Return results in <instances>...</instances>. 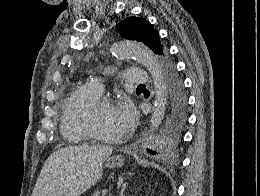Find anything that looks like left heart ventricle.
Returning a JSON list of instances; mask_svg holds the SVG:
<instances>
[{
  "label": "left heart ventricle",
  "mask_w": 260,
  "mask_h": 196,
  "mask_svg": "<svg viewBox=\"0 0 260 196\" xmlns=\"http://www.w3.org/2000/svg\"><path fill=\"white\" fill-rule=\"evenodd\" d=\"M87 112L85 113L84 119L87 116ZM95 125L101 132L113 135L121 133L124 129L117 113V104L115 103L101 108L95 116Z\"/></svg>",
  "instance_id": "b2bd125f"
}]
</instances>
